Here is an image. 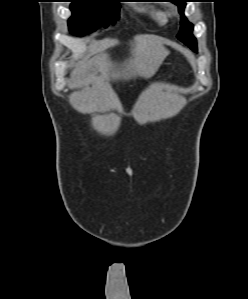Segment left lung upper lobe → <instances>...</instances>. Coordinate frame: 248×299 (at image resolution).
<instances>
[{
  "instance_id": "left-lung-upper-lobe-1",
  "label": "left lung upper lobe",
  "mask_w": 248,
  "mask_h": 299,
  "mask_svg": "<svg viewBox=\"0 0 248 299\" xmlns=\"http://www.w3.org/2000/svg\"><path fill=\"white\" fill-rule=\"evenodd\" d=\"M170 1L178 5L179 12L182 15L180 33L177 36L178 39L181 40L187 46H189L192 50L197 51V42L195 37L192 34L193 25L184 16V8L186 6L185 4L186 0H170Z\"/></svg>"
}]
</instances>
